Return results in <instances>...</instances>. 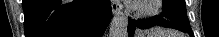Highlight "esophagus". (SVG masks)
I'll return each instance as SVG.
<instances>
[{
	"label": "esophagus",
	"instance_id": "34e87169",
	"mask_svg": "<svg viewBox=\"0 0 219 37\" xmlns=\"http://www.w3.org/2000/svg\"><path fill=\"white\" fill-rule=\"evenodd\" d=\"M112 12L116 14L117 11L121 10L122 5L118 0H111Z\"/></svg>",
	"mask_w": 219,
	"mask_h": 37
}]
</instances>
